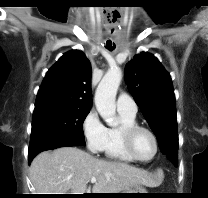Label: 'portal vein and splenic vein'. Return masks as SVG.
Masks as SVG:
<instances>
[{
    "label": "portal vein and splenic vein",
    "instance_id": "18ae733b",
    "mask_svg": "<svg viewBox=\"0 0 208 198\" xmlns=\"http://www.w3.org/2000/svg\"><path fill=\"white\" fill-rule=\"evenodd\" d=\"M96 182V178L95 177H92L91 178V183H95Z\"/></svg>",
    "mask_w": 208,
    "mask_h": 198
}]
</instances>
